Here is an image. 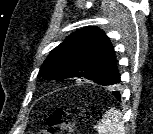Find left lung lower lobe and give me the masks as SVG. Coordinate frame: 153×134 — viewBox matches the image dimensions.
Returning a JSON list of instances; mask_svg holds the SVG:
<instances>
[{
	"mask_svg": "<svg viewBox=\"0 0 153 134\" xmlns=\"http://www.w3.org/2000/svg\"><path fill=\"white\" fill-rule=\"evenodd\" d=\"M112 94L120 101V93H119V91H112Z\"/></svg>",
	"mask_w": 153,
	"mask_h": 134,
	"instance_id": "obj_1",
	"label": "left lung lower lobe"
}]
</instances>
